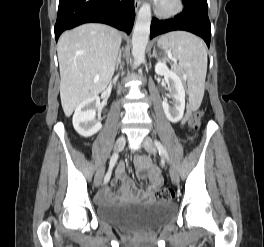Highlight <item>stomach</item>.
Returning a JSON list of instances; mask_svg holds the SVG:
<instances>
[{"mask_svg": "<svg viewBox=\"0 0 264 247\" xmlns=\"http://www.w3.org/2000/svg\"><path fill=\"white\" fill-rule=\"evenodd\" d=\"M157 53L158 58H167V53H164V48H157Z\"/></svg>", "mask_w": 264, "mask_h": 247, "instance_id": "obj_1", "label": "stomach"}]
</instances>
